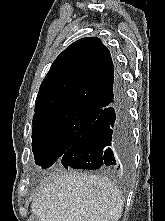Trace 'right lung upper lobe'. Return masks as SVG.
<instances>
[{"instance_id": "cb5924a9", "label": "right lung upper lobe", "mask_w": 165, "mask_h": 221, "mask_svg": "<svg viewBox=\"0 0 165 221\" xmlns=\"http://www.w3.org/2000/svg\"><path fill=\"white\" fill-rule=\"evenodd\" d=\"M117 77L108 48L97 37L77 40L52 63L35 114L59 108L101 110L115 94Z\"/></svg>"}]
</instances>
